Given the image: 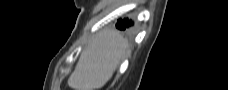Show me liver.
Masks as SVG:
<instances>
[{"label":"liver","instance_id":"liver-1","mask_svg":"<svg viewBox=\"0 0 228 90\" xmlns=\"http://www.w3.org/2000/svg\"><path fill=\"white\" fill-rule=\"evenodd\" d=\"M127 47V40L117 30H103L81 53L68 85L73 90H98L103 87L125 57Z\"/></svg>","mask_w":228,"mask_h":90}]
</instances>
